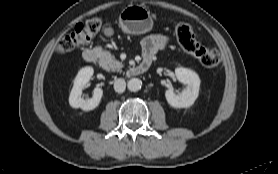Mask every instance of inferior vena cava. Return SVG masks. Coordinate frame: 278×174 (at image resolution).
<instances>
[{"mask_svg":"<svg viewBox=\"0 0 278 174\" xmlns=\"http://www.w3.org/2000/svg\"><path fill=\"white\" fill-rule=\"evenodd\" d=\"M125 88H126V82L124 79H117L115 82H114V90L118 93H123L125 91Z\"/></svg>","mask_w":278,"mask_h":174,"instance_id":"602c4592","label":"inferior vena cava"}]
</instances>
